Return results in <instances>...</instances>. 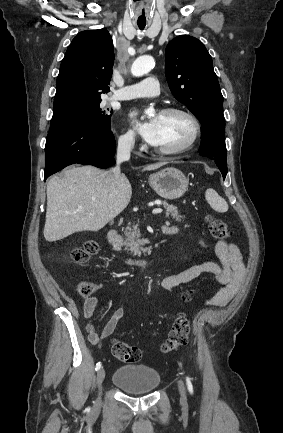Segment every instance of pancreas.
I'll list each match as a JSON object with an SVG mask.
<instances>
[{
    "mask_svg": "<svg viewBox=\"0 0 283 433\" xmlns=\"http://www.w3.org/2000/svg\"><path fill=\"white\" fill-rule=\"evenodd\" d=\"M157 200H160V198H157ZM160 204H163L166 208V217H172V219H176V221H181V219H184L182 217V214H179V210L177 206H174V204H168L167 200H161ZM125 237H127L125 241L126 249L125 251H130L129 255H142V253H148L150 249L148 247H143L145 245L144 239H140L141 233L137 227V225H132V227H127L125 229L124 233Z\"/></svg>",
    "mask_w": 283,
    "mask_h": 433,
    "instance_id": "pancreas-1",
    "label": "pancreas"
}]
</instances>
